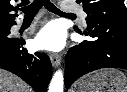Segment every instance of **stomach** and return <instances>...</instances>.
<instances>
[{"mask_svg":"<svg viewBox=\"0 0 127 92\" xmlns=\"http://www.w3.org/2000/svg\"><path fill=\"white\" fill-rule=\"evenodd\" d=\"M75 92H127V77L117 69H102L81 79Z\"/></svg>","mask_w":127,"mask_h":92,"instance_id":"0dacf381","label":"stomach"}]
</instances>
